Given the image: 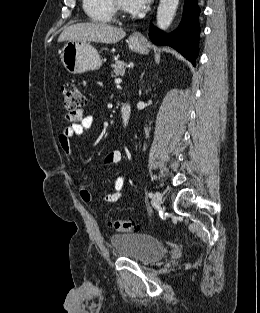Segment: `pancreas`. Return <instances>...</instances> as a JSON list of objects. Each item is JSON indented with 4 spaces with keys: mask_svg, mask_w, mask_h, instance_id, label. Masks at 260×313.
<instances>
[{
    "mask_svg": "<svg viewBox=\"0 0 260 313\" xmlns=\"http://www.w3.org/2000/svg\"><path fill=\"white\" fill-rule=\"evenodd\" d=\"M126 68L127 64L122 61H116L115 64L112 65L115 76L124 75Z\"/></svg>",
    "mask_w": 260,
    "mask_h": 313,
    "instance_id": "obj_1",
    "label": "pancreas"
}]
</instances>
